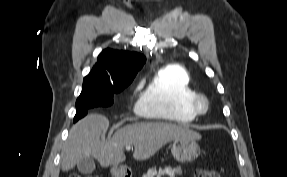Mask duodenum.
<instances>
[{"instance_id": "410a0bca", "label": "duodenum", "mask_w": 287, "mask_h": 177, "mask_svg": "<svg viewBox=\"0 0 287 177\" xmlns=\"http://www.w3.org/2000/svg\"><path fill=\"white\" fill-rule=\"evenodd\" d=\"M114 177H130L128 174V167L126 166H117L113 168Z\"/></svg>"}]
</instances>
